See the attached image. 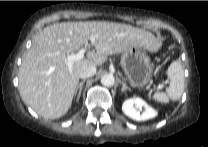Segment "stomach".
Instances as JSON below:
<instances>
[{
    "mask_svg": "<svg viewBox=\"0 0 208 147\" xmlns=\"http://www.w3.org/2000/svg\"><path fill=\"white\" fill-rule=\"evenodd\" d=\"M121 67L130 84L144 87L152 78L153 66L143 47L133 46L122 54Z\"/></svg>",
    "mask_w": 208,
    "mask_h": 147,
    "instance_id": "1",
    "label": "stomach"
}]
</instances>
